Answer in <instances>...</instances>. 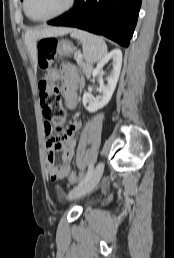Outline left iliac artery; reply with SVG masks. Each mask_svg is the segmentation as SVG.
I'll return each instance as SVG.
<instances>
[{
	"label": "left iliac artery",
	"instance_id": "1",
	"mask_svg": "<svg viewBox=\"0 0 174 258\" xmlns=\"http://www.w3.org/2000/svg\"><path fill=\"white\" fill-rule=\"evenodd\" d=\"M92 174H93V165L90 164L85 177L79 182L78 187L85 184L91 178Z\"/></svg>",
	"mask_w": 174,
	"mask_h": 258
}]
</instances>
